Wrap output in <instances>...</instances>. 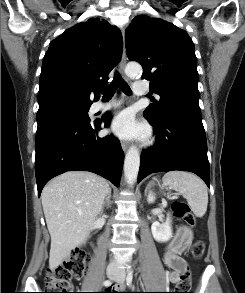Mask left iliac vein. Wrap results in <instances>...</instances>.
Listing matches in <instances>:
<instances>
[{"instance_id":"1","label":"left iliac vein","mask_w":245,"mask_h":293,"mask_svg":"<svg viewBox=\"0 0 245 293\" xmlns=\"http://www.w3.org/2000/svg\"><path fill=\"white\" fill-rule=\"evenodd\" d=\"M114 280L119 284H123L125 280V272L124 271L119 272L117 277L114 278Z\"/></svg>"}]
</instances>
